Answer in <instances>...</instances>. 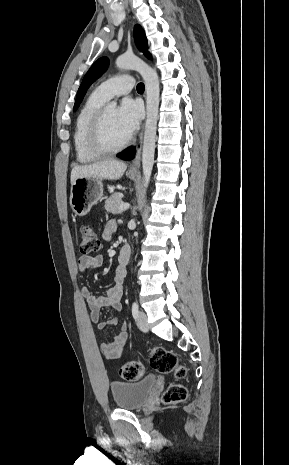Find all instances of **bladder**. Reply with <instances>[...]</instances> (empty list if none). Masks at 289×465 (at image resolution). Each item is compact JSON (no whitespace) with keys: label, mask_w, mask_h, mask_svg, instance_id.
Here are the masks:
<instances>
[{"label":"bladder","mask_w":289,"mask_h":465,"mask_svg":"<svg viewBox=\"0 0 289 465\" xmlns=\"http://www.w3.org/2000/svg\"><path fill=\"white\" fill-rule=\"evenodd\" d=\"M157 385L155 376H147L136 382H112L110 390L119 409L134 410L144 406Z\"/></svg>","instance_id":"1"}]
</instances>
